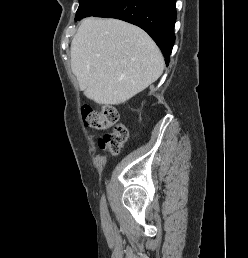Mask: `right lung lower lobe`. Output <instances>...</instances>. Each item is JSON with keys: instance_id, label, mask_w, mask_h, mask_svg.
<instances>
[{"instance_id": "1", "label": "right lung lower lobe", "mask_w": 248, "mask_h": 258, "mask_svg": "<svg viewBox=\"0 0 248 258\" xmlns=\"http://www.w3.org/2000/svg\"><path fill=\"white\" fill-rule=\"evenodd\" d=\"M176 0H115L95 14L124 20L145 30L161 49L168 65L175 41Z\"/></svg>"}]
</instances>
